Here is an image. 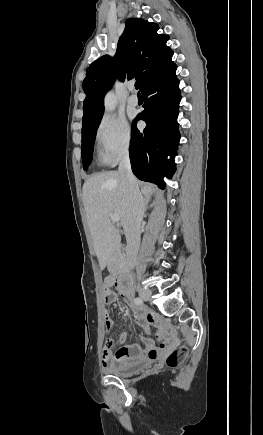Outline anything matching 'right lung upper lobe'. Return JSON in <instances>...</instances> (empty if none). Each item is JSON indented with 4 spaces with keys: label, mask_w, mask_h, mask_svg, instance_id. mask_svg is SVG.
I'll list each match as a JSON object with an SVG mask.
<instances>
[{
    "label": "right lung upper lobe",
    "mask_w": 263,
    "mask_h": 435,
    "mask_svg": "<svg viewBox=\"0 0 263 435\" xmlns=\"http://www.w3.org/2000/svg\"><path fill=\"white\" fill-rule=\"evenodd\" d=\"M159 27L140 18L126 20L114 58L104 55L87 69L83 81L82 129L92 126L103 116V98L115 77L124 81L135 77L142 91L145 86L172 64L173 51L166 45L168 35L157 34Z\"/></svg>",
    "instance_id": "cb5924a9"
}]
</instances>
